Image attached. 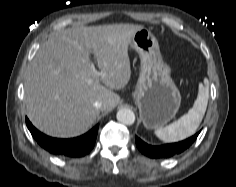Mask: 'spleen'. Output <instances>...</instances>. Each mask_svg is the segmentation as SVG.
I'll return each mask as SVG.
<instances>
[{
  "mask_svg": "<svg viewBox=\"0 0 236 187\" xmlns=\"http://www.w3.org/2000/svg\"><path fill=\"white\" fill-rule=\"evenodd\" d=\"M208 101L207 89L199 86V93L193 107L172 124L155 130V135L164 142L183 140L195 133L205 114Z\"/></svg>",
  "mask_w": 236,
  "mask_h": 187,
  "instance_id": "1",
  "label": "spleen"
}]
</instances>
